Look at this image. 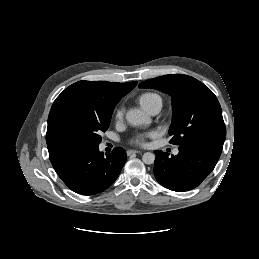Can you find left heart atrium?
Masks as SVG:
<instances>
[{
  "label": "left heart atrium",
  "mask_w": 259,
  "mask_h": 259,
  "mask_svg": "<svg viewBox=\"0 0 259 259\" xmlns=\"http://www.w3.org/2000/svg\"><path fill=\"white\" fill-rule=\"evenodd\" d=\"M150 136H152V134L138 135V136L131 139V144L138 145V146H145L146 145V139Z\"/></svg>",
  "instance_id": "39dd6f15"
}]
</instances>
